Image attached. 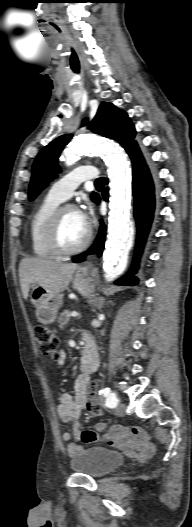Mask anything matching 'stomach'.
Wrapping results in <instances>:
<instances>
[{"mask_svg":"<svg viewBox=\"0 0 192 527\" xmlns=\"http://www.w3.org/2000/svg\"><path fill=\"white\" fill-rule=\"evenodd\" d=\"M96 275L88 269H78L73 279V287L83 296H89L95 288ZM35 307V315L43 324H50L57 318L63 302V295L53 293L39 284H33L30 293Z\"/></svg>","mask_w":192,"mask_h":527,"instance_id":"0dacf381","label":"stomach"}]
</instances>
